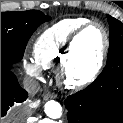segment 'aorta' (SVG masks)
Listing matches in <instances>:
<instances>
[{"instance_id":"obj_1","label":"aorta","mask_w":123,"mask_h":123,"mask_svg":"<svg viewBox=\"0 0 123 123\" xmlns=\"http://www.w3.org/2000/svg\"><path fill=\"white\" fill-rule=\"evenodd\" d=\"M45 114L52 119H58L62 116V106L54 100L47 101L44 105Z\"/></svg>"}]
</instances>
